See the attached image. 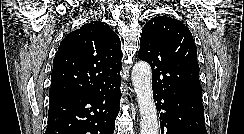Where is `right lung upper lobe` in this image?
<instances>
[{"instance_id": "1", "label": "right lung upper lobe", "mask_w": 244, "mask_h": 134, "mask_svg": "<svg viewBox=\"0 0 244 134\" xmlns=\"http://www.w3.org/2000/svg\"><path fill=\"white\" fill-rule=\"evenodd\" d=\"M121 42L107 23L94 21L69 33L53 60L50 101L102 89L122 68Z\"/></svg>"}]
</instances>
